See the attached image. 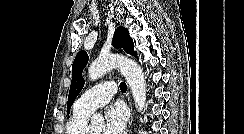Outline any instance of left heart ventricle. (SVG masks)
Returning <instances> with one entry per match:
<instances>
[{
    "instance_id": "b2bd125f",
    "label": "left heart ventricle",
    "mask_w": 244,
    "mask_h": 134,
    "mask_svg": "<svg viewBox=\"0 0 244 134\" xmlns=\"http://www.w3.org/2000/svg\"><path fill=\"white\" fill-rule=\"evenodd\" d=\"M104 127L103 125H96L91 127L92 134H103Z\"/></svg>"
}]
</instances>
